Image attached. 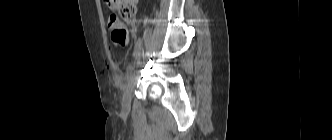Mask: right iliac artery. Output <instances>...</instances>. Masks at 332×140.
Returning a JSON list of instances; mask_svg holds the SVG:
<instances>
[{"instance_id":"1","label":"right iliac artery","mask_w":332,"mask_h":140,"mask_svg":"<svg viewBox=\"0 0 332 140\" xmlns=\"http://www.w3.org/2000/svg\"><path fill=\"white\" fill-rule=\"evenodd\" d=\"M131 73H132V67H131V66H128V68H127V72H126L127 78H130V77H131Z\"/></svg>"}]
</instances>
